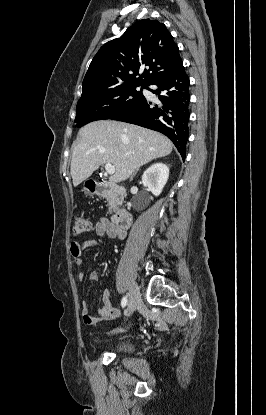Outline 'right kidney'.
Here are the masks:
<instances>
[{"mask_svg": "<svg viewBox=\"0 0 266 415\" xmlns=\"http://www.w3.org/2000/svg\"><path fill=\"white\" fill-rule=\"evenodd\" d=\"M168 177V166L163 163H155L143 173L142 183L155 196H159L167 183Z\"/></svg>", "mask_w": 266, "mask_h": 415, "instance_id": "obj_1", "label": "right kidney"}]
</instances>
